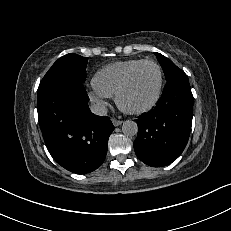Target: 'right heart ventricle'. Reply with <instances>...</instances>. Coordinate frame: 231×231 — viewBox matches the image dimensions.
<instances>
[{"instance_id":"right-heart-ventricle-1","label":"right heart ventricle","mask_w":231,"mask_h":231,"mask_svg":"<svg viewBox=\"0 0 231 231\" xmlns=\"http://www.w3.org/2000/svg\"><path fill=\"white\" fill-rule=\"evenodd\" d=\"M143 59L117 61L102 67L93 78L94 87L108 97L115 96L128 72Z\"/></svg>"}]
</instances>
